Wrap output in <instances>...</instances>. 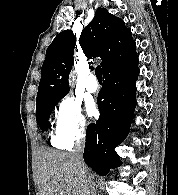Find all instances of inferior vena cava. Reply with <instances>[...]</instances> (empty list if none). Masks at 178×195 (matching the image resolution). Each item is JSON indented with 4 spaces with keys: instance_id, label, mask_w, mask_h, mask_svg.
<instances>
[{
    "instance_id": "obj_1",
    "label": "inferior vena cava",
    "mask_w": 178,
    "mask_h": 195,
    "mask_svg": "<svg viewBox=\"0 0 178 195\" xmlns=\"http://www.w3.org/2000/svg\"><path fill=\"white\" fill-rule=\"evenodd\" d=\"M85 146V138L81 136L76 140L75 147L72 151V155L75 158L78 169L83 176H86L89 180V195H96V187L92 176L89 173L87 166L83 161V150Z\"/></svg>"
}]
</instances>
